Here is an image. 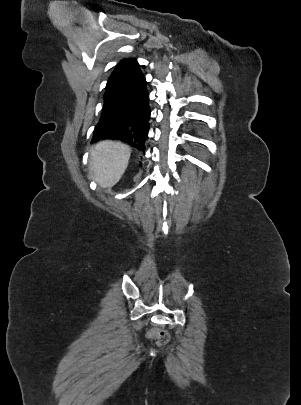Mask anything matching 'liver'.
<instances>
[{"mask_svg": "<svg viewBox=\"0 0 301 405\" xmlns=\"http://www.w3.org/2000/svg\"><path fill=\"white\" fill-rule=\"evenodd\" d=\"M130 154L128 145L115 141H102L91 150L90 167L102 188H111L121 179Z\"/></svg>", "mask_w": 301, "mask_h": 405, "instance_id": "obj_1", "label": "liver"}]
</instances>
